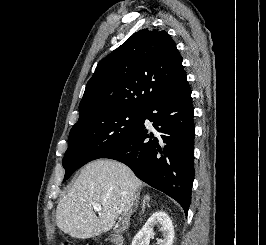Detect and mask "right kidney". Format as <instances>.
Instances as JSON below:
<instances>
[{"label": "right kidney", "mask_w": 266, "mask_h": 245, "mask_svg": "<svg viewBox=\"0 0 266 245\" xmlns=\"http://www.w3.org/2000/svg\"><path fill=\"white\" fill-rule=\"evenodd\" d=\"M154 227H159L163 233L161 245H173L174 243V227L171 219L164 211H156L142 227L141 231L135 235L132 245H149L151 237L154 235Z\"/></svg>", "instance_id": "right-kidney-1"}]
</instances>
